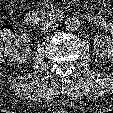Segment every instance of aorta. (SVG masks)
<instances>
[{"instance_id":"1","label":"aorta","mask_w":113,"mask_h":113,"mask_svg":"<svg viewBox=\"0 0 113 113\" xmlns=\"http://www.w3.org/2000/svg\"><path fill=\"white\" fill-rule=\"evenodd\" d=\"M64 24L67 31H76L81 23L77 17H68Z\"/></svg>"}]
</instances>
